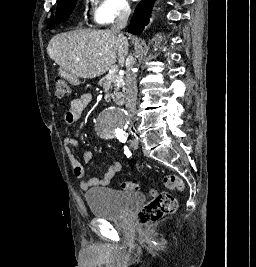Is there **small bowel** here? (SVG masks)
Listing matches in <instances>:
<instances>
[{
	"label": "small bowel",
	"mask_w": 256,
	"mask_h": 267,
	"mask_svg": "<svg viewBox=\"0 0 256 267\" xmlns=\"http://www.w3.org/2000/svg\"><path fill=\"white\" fill-rule=\"evenodd\" d=\"M92 100V96L89 93H83L78 98L73 99L70 102V108L64 115V122L65 124H71L75 120L81 117L83 111L85 108L90 104ZM65 146L66 150L68 152V156L71 162V167L73 174L77 178H81L82 181L80 183V187L83 190H88L94 186H107L109 185L115 175L120 171L121 169V163L119 161L112 162L108 168L105 174L102 177H95L90 179H83L85 176V168L81 164V162L76 158V156L73 153L74 148H79L80 143L77 139L68 137L65 140ZM83 158L85 162H89L92 158V154L88 150L83 151Z\"/></svg>",
	"instance_id": "c3829d8e"
}]
</instances>
